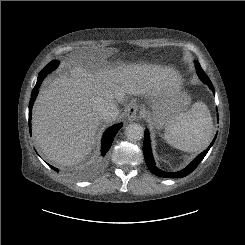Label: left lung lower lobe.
I'll return each instance as SVG.
<instances>
[{
    "label": "left lung lower lobe",
    "instance_id": "1",
    "mask_svg": "<svg viewBox=\"0 0 245 245\" xmlns=\"http://www.w3.org/2000/svg\"><path fill=\"white\" fill-rule=\"evenodd\" d=\"M200 78L204 83H206L210 87V89L215 94L214 87L212 86V83H211L210 79L207 77V75H203ZM144 136L145 137H144V143H143V153H144L145 161H146V164H147L149 170L154 175L159 176V177L181 178V177L189 175L192 171L195 170V168L203 160V158L205 157V155L207 154V152L209 151V149L213 145L217 134H216L215 138L213 139V141L211 142V144L209 145V147L205 151H203L201 154H199L185 169H183L179 172H175V173H167V172L161 171L155 166V162H154L152 152H151V147H150L148 130H145Z\"/></svg>",
    "mask_w": 245,
    "mask_h": 245
}]
</instances>
